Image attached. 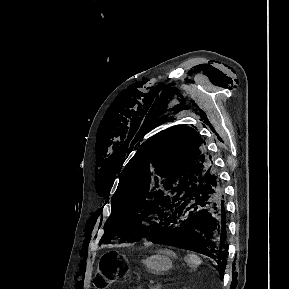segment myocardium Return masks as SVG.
Listing matches in <instances>:
<instances>
[{
	"label": "myocardium",
	"instance_id": "myocardium-1",
	"mask_svg": "<svg viewBox=\"0 0 289 289\" xmlns=\"http://www.w3.org/2000/svg\"><path fill=\"white\" fill-rule=\"evenodd\" d=\"M151 222H152V219H147V220H145L144 224L146 226H148Z\"/></svg>",
	"mask_w": 289,
	"mask_h": 289
}]
</instances>
